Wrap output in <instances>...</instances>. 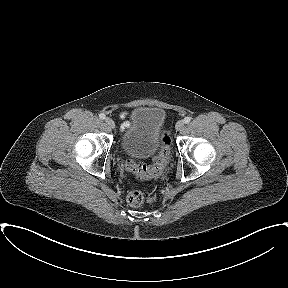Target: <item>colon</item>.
Returning a JSON list of instances; mask_svg holds the SVG:
<instances>
[{"mask_svg":"<svg viewBox=\"0 0 288 288\" xmlns=\"http://www.w3.org/2000/svg\"><path fill=\"white\" fill-rule=\"evenodd\" d=\"M170 144V138L168 135H164L163 149L159 155L154 159L152 165H146L143 163H136L128 160L126 163L127 170L133 172L139 179H151L155 177L165 165L168 158V147ZM150 198H146L140 191H130L127 195V202L132 207L141 206Z\"/></svg>","mask_w":288,"mask_h":288,"instance_id":"5ec220e1","label":"colon"}]
</instances>
